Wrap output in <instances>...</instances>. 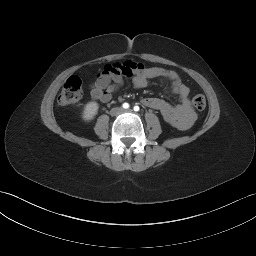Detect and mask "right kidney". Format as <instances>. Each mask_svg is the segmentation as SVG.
<instances>
[{
	"label": "right kidney",
	"instance_id": "right-kidney-1",
	"mask_svg": "<svg viewBox=\"0 0 256 256\" xmlns=\"http://www.w3.org/2000/svg\"><path fill=\"white\" fill-rule=\"evenodd\" d=\"M99 109V105L97 102H88L83 110L82 118L84 121H90L94 119Z\"/></svg>",
	"mask_w": 256,
	"mask_h": 256
}]
</instances>
